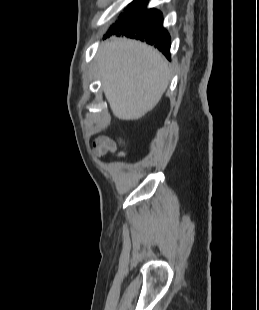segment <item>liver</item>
I'll return each instance as SVG.
<instances>
[{"mask_svg":"<svg viewBox=\"0 0 259 310\" xmlns=\"http://www.w3.org/2000/svg\"><path fill=\"white\" fill-rule=\"evenodd\" d=\"M96 67L112 113L120 120H138L151 111L171 78L168 62L159 51L126 38L103 43Z\"/></svg>","mask_w":259,"mask_h":310,"instance_id":"1","label":"liver"}]
</instances>
